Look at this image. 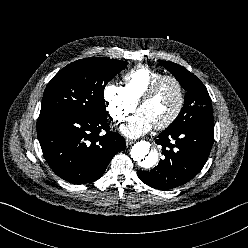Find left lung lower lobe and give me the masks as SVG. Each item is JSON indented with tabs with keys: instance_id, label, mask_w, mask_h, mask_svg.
I'll list each match as a JSON object with an SVG mask.
<instances>
[{
	"instance_id": "1",
	"label": "left lung lower lobe",
	"mask_w": 248,
	"mask_h": 248,
	"mask_svg": "<svg viewBox=\"0 0 248 248\" xmlns=\"http://www.w3.org/2000/svg\"><path fill=\"white\" fill-rule=\"evenodd\" d=\"M214 141V126L166 128L156 140L165 158L150 171H138L143 183L158 190L181 186L205 165Z\"/></svg>"
}]
</instances>
